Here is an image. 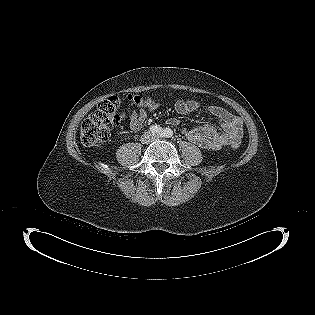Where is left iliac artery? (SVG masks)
Listing matches in <instances>:
<instances>
[{
    "label": "left iliac artery",
    "instance_id": "44dca946",
    "mask_svg": "<svg viewBox=\"0 0 315 315\" xmlns=\"http://www.w3.org/2000/svg\"><path fill=\"white\" fill-rule=\"evenodd\" d=\"M174 133L170 128H165L163 129L161 136L162 137H166V138H170L173 137Z\"/></svg>",
    "mask_w": 315,
    "mask_h": 315
}]
</instances>
